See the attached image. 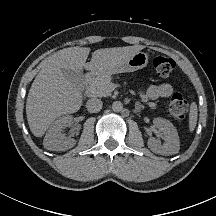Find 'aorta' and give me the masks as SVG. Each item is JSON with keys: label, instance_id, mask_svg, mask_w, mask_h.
Instances as JSON below:
<instances>
[{"label": "aorta", "instance_id": "obj_1", "mask_svg": "<svg viewBox=\"0 0 216 216\" xmlns=\"http://www.w3.org/2000/svg\"><path fill=\"white\" fill-rule=\"evenodd\" d=\"M123 109V104L120 101H115L112 104V110L114 112H120Z\"/></svg>", "mask_w": 216, "mask_h": 216}]
</instances>
